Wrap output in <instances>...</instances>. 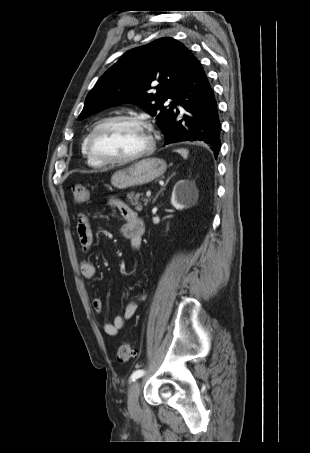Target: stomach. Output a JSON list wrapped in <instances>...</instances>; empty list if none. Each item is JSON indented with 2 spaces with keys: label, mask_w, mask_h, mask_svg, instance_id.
<instances>
[{
  "label": "stomach",
  "mask_w": 310,
  "mask_h": 453,
  "mask_svg": "<svg viewBox=\"0 0 310 453\" xmlns=\"http://www.w3.org/2000/svg\"><path fill=\"white\" fill-rule=\"evenodd\" d=\"M167 165L160 158L142 159L128 168L116 171L111 177V184L117 189L148 184L166 171Z\"/></svg>",
  "instance_id": "1"
}]
</instances>
